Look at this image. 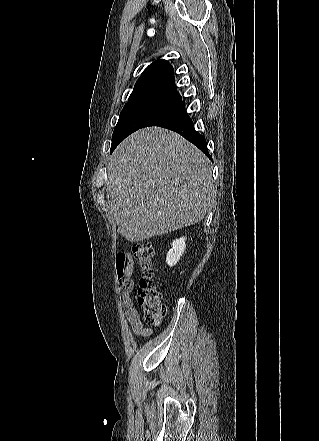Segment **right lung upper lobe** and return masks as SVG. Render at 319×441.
<instances>
[{"label": "right lung upper lobe", "mask_w": 319, "mask_h": 441, "mask_svg": "<svg viewBox=\"0 0 319 441\" xmlns=\"http://www.w3.org/2000/svg\"><path fill=\"white\" fill-rule=\"evenodd\" d=\"M135 99H158L174 104L182 100L176 89L173 67L168 61L156 60L144 70L129 97V100Z\"/></svg>", "instance_id": "obj_1"}]
</instances>
